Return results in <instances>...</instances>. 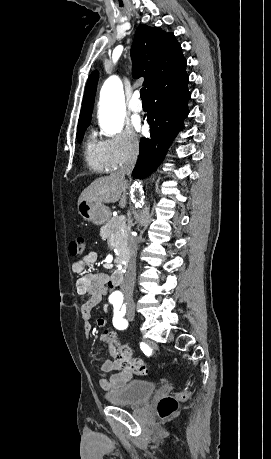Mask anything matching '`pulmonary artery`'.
Returning <instances> with one entry per match:
<instances>
[{
    "label": "pulmonary artery",
    "instance_id": "pulmonary-artery-1",
    "mask_svg": "<svg viewBox=\"0 0 271 459\" xmlns=\"http://www.w3.org/2000/svg\"><path fill=\"white\" fill-rule=\"evenodd\" d=\"M129 109L131 112L138 114L143 110V104L140 99V92L136 91L132 100L129 102Z\"/></svg>",
    "mask_w": 271,
    "mask_h": 459
}]
</instances>
